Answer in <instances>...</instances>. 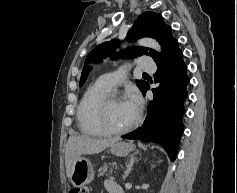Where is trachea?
I'll return each mask as SVG.
<instances>
[{"mask_svg":"<svg viewBox=\"0 0 237 193\" xmlns=\"http://www.w3.org/2000/svg\"><path fill=\"white\" fill-rule=\"evenodd\" d=\"M143 75H148L147 73H143Z\"/></svg>","mask_w":237,"mask_h":193,"instance_id":"obj_1","label":"trachea"}]
</instances>
